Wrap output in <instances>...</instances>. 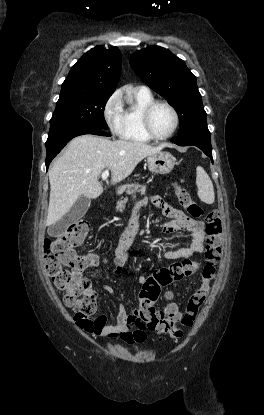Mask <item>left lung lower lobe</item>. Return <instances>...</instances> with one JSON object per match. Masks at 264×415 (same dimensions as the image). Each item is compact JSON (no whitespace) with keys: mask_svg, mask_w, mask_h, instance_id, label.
Here are the masks:
<instances>
[{"mask_svg":"<svg viewBox=\"0 0 264 415\" xmlns=\"http://www.w3.org/2000/svg\"><path fill=\"white\" fill-rule=\"evenodd\" d=\"M171 142L179 146H197L213 162L210 132L207 127L191 130L183 135H179L178 137L171 139Z\"/></svg>","mask_w":264,"mask_h":415,"instance_id":"1","label":"left lung lower lobe"}]
</instances>
